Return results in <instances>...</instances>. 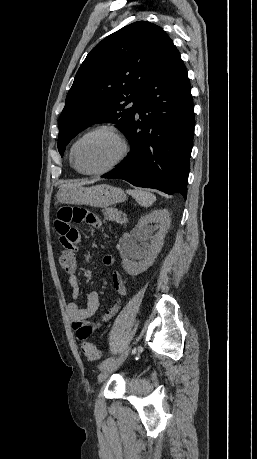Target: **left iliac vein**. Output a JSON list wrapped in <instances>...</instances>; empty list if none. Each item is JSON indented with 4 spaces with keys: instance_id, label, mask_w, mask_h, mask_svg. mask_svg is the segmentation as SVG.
I'll return each mask as SVG.
<instances>
[{
    "instance_id": "4c4485c4",
    "label": "left iliac vein",
    "mask_w": 257,
    "mask_h": 459,
    "mask_svg": "<svg viewBox=\"0 0 257 459\" xmlns=\"http://www.w3.org/2000/svg\"><path fill=\"white\" fill-rule=\"evenodd\" d=\"M128 351L116 361H113L110 365L103 368L100 375L98 376V382H103L112 372H114L127 358Z\"/></svg>"
}]
</instances>
